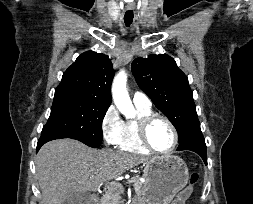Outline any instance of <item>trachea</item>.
I'll list each match as a JSON object with an SVG mask.
<instances>
[{"instance_id":"obj_1","label":"trachea","mask_w":253,"mask_h":204,"mask_svg":"<svg viewBox=\"0 0 253 204\" xmlns=\"http://www.w3.org/2000/svg\"><path fill=\"white\" fill-rule=\"evenodd\" d=\"M132 21H133V11L128 10L125 12L124 22H125L126 26H130Z\"/></svg>"}]
</instances>
